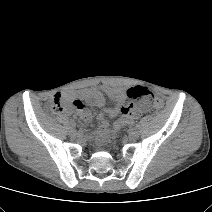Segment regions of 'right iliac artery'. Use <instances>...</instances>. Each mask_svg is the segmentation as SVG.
<instances>
[{"mask_svg": "<svg viewBox=\"0 0 212 212\" xmlns=\"http://www.w3.org/2000/svg\"><path fill=\"white\" fill-rule=\"evenodd\" d=\"M69 124H70L71 127H75L76 126V123L74 121H70Z\"/></svg>", "mask_w": 212, "mask_h": 212, "instance_id": "1", "label": "right iliac artery"}]
</instances>
